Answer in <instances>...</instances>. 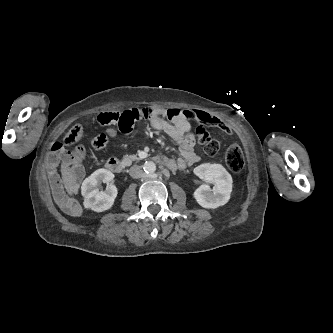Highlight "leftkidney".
I'll use <instances>...</instances> for the list:
<instances>
[{
  "label": "left kidney",
  "instance_id": "obj_1",
  "mask_svg": "<svg viewBox=\"0 0 333 333\" xmlns=\"http://www.w3.org/2000/svg\"><path fill=\"white\" fill-rule=\"evenodd\" d=\"M194 174L199 178L213 183V189L207 184H202L194 192L197 203L209 209L225 205L232 192V177L220 164L205 163L194 169Z\"/></svg>",
  "mask_w": 333,
  "mask_h": 333
}]
</instances>
